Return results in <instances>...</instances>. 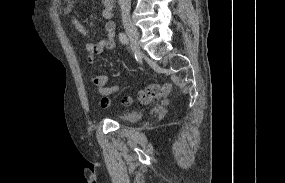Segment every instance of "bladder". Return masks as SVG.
<instances>
[{"label":"bladder","instance_id":"1","mask_svg":"<svg viewBox=\"0 0 285 183\" xmlns=\"http://www.w3.org/2000/svg\"><path fill=\"white\" fill-rule=\"evenodd\" d=\"M116 115L125 122H134L142 117L141 111L119 110Z\"/></svg>","mask_w":285,"mask_h":183}]
</instances>
